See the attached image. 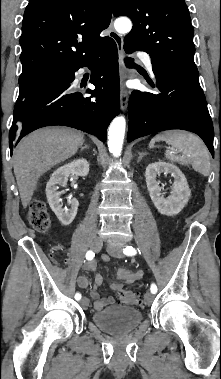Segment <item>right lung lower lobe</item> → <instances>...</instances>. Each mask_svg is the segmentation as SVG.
I'll list each match as a JSON object with an SVG mask.
<instances>
[{"label": "right lung lower lobe", "instance_id": "right-lung-lower-lobe-1", "mask_svg": "<svg viewBox=\"0 0 221 379\" xmlns=\"http://www.w3.org/2000/svg\"><path fill=\"white\" fill-rule=\"evenodd\" d=\"M84 66L94 71L90 82L95 90L80 92L71 87L74 73ZM119 110L118 53L115 42L109 38L86 60L55 67L26 84L24 98L18 100L14 108L9 132L10 151L28 133L51 125L73 127L96 135L104 142L106 129Z\"/></svg>", "mask_w": 221, "mask_h": 379}]
</instances>
